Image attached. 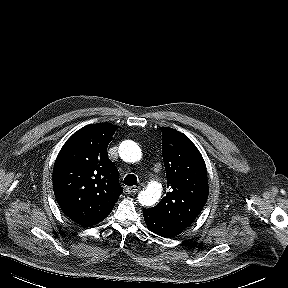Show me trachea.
Wrapping results in <instances>:
<instances>
[{
	"label": "trachea",
	"instance_id": "obj_1",
	"mask_svg": "<svg viewBox=\"0 0 288 288\" xmlns=\"http://www.w3.org/2000/svg\"><path fill=\"white\" fill-rule=\"evenodd\" d=\"M124 184L127 186H133L137 184V177L134 174H128L124 178Z\"/></svg>",
	"mask_w": 288,
	"mask_h": 288
}]
</instances>
